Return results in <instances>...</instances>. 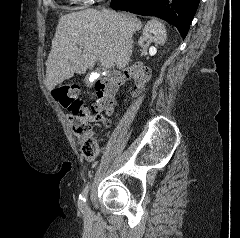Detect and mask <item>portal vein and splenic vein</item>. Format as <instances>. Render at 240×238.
I'll list each match as a JSON object with an SVG mask.
<instances>
[{"label":"portal vein and splenic vein","instance_id":"obj_1","mask_svg":"<svg viewBox=\"0 0 240 238\" xmlns=\"http://www.w3.org/2000/svg\"><path fill=\"white\" fill-rule=\"evenodd\" d=\"M94 51L104 67L110 68L113 66V63L110 62L100 51L98 50H94Z\"/></svg>","mask_w":240,"mask_h":238}]
</instances>
